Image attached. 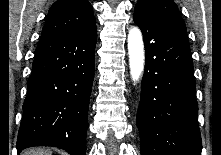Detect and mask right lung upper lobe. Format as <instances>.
<instances>
[{
  "label": "right lung upper lobe",
  "instance_id": "1",
  "mask_svg": "<svg viewBox=\"0 0 221 155\" xmlns=\"http://www.w3.org/2000/svg\"><path fill=\"white\" fill-rule=\"evenodd\" d=\"M93 25V8L87 0H58L49 9L42 36L80 31Z\"/></svg>",
  "mask_w": 221,
  "mask_h": 155
}]
</instances>
